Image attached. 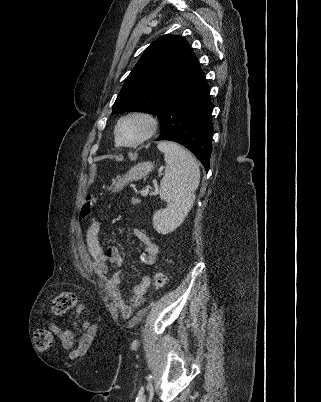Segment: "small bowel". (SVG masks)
Instances as JSON below:
<instances>
[{
    "mask_svg": "<svg viewBox=\"0 0 321 402\" xmlns=\"http://www.w3.org/2000/svg\"><path fill=\"white\" fill-rule=\"evenodd\" d=\"M100 227L101 223L98 220H93L87 230V238L92 251L93 270L97 276L106 280L111 298L122 317L129 318L134 309L144 303V295L150 284V278L146 274L143 275L141 281L133 287L130 301L127 302L124 299L121 290V275L117 271L123 264V254L118 246L101 243L98 238ZM134 232L137 238L144 244V248L139 254L140 263L145 267L152 266L159 254L158 245L152 242L144 231L135 229ZM110 268H113L114 272L110 273ZM77 308L82 310L84 305L79 303ZM46 323L59 338L62 346L68 350L69 358H85L87 347L92 346V338L97 333V328L92 321L87 320L84 323V333L79 336L81 344L73 343L72 334L69 329L49 321H46Z\"/></svg>",
    "mask_w": 321,
    "mask_h": 402,
    "instance_id": "1",
    "label": "small bowel"
}]
</instances>
